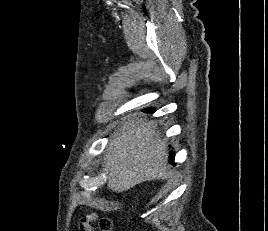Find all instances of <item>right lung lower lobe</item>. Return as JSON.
<instances>
[{
  "label": "right lung lower lobe",
  "mask_w": 268,
  "mask_h": 231,
  "mask_svg": "<svg viewBox=\"0 0 268 231\" xmlns=\"http://www.w3.org/2000/svg\"><path fill=\"white\" fill-rule=\"evenodd\" d=\"M146 112H150V113H152L153 111L146 110ZM173 160H174V155H173V154H171V156H170V160H169V161H170V163H171V164H173V165H174V161H173Z\"/></svg>",
  "instance_id": "obj_1"
}]
</instances>
